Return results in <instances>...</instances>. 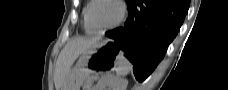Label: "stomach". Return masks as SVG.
<instances>
[{"label": "stomach", "mask_w": 228, "mask_h": 90, "mask_svg": "<svg viewBox=\"0 0 228 90\" xmlns=\"http://www.w3.org/2000/svg\"><path fill=\"white\" fill-rule=\"evenodd\" d=\"M111 40H103L89 48L70 70L63 90H80L83 82L93 73L108 68H116L121 52Z\"/></svg>", "instance_id": "obj_1"}]
</instances>
